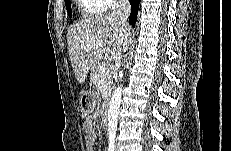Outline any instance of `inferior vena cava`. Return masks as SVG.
I'll use <instances>...</instances> for the list:
<instances>
[{
	"instance_id": "1",
	"label": "inferior vena cava",
	"mask_w": 231,
	"mask_h": 151,
	"mask_svg": "<svg viewBox=\"0 0 231 151\" xmlns=\"http://www.w3.org/2000/svg\"><path fill=\"white\" fill-rule=\"evenodd\" d=\"M131 11V6L128 0H117L115 10L112 12L111 16L119 22V24L125 30L128 29L127 19Z\"/></svg>"
}]
</instances>
